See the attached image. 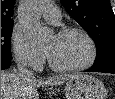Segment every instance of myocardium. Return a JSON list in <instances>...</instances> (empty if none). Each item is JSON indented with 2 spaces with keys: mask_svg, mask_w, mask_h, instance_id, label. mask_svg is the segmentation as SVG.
Returning a JSON list of instances; mask_svg holds the SVG:
<instances>
[{
  "mask_svg": "<svg viewBox=\"0 0 115 99\" xmlns=\"http://www.w3.org/2000/svg\"><path fill=\"white\" fill-rule=\"evenodd\" d=\"M70 34H78L80 36H82L85 41L88 44V48H89V54L87 59L77 65H72V66H60L55 64L47 55V62L49 67L57 72H76V71H81L84 70L86 68H89L90 66H92V64L95 62L96 57H97V47L96 44L93 40V38L90 36V34L88 32H86L83 29L80 28H75V27H71V28H66L63 29L61 31H59L57 33L58 36H65V35H70Z\"/></svg>",
  "mask_w": 115,
  "mask_h": 99,
  "instance_id": "obj_1",
  "label": "myocardium"
}]
</instances>
